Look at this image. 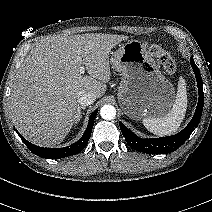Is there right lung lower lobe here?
Instances as JSON below:
<instances>
[{"label": "right lung lower lobe", "instance_id": "right-lung-lower-lobe-1", "mask_svg": "<svg viewBox=\"0 0 212 212\" xmlns=\"http://www.w3.org/2000/svg\"><path fill=\"white\" fill-rule=\"evenodd\" d=\"M98 110H95L92 115L89 118L88 126L83 134V136L74 144L63 147V148H43L39 146H35L34 144L28 142L24 137H22L18 131V135L22 139V141L25 143V145L28 147V149L36 154L39 157L47 158V159H60L64 157H68L74 154H77L81 152L87 145L89 138L91 136L93 124L95 117L97 115Z\"/></svg>", "mask_w": 212, "mask_h": 212}]
</instances>
